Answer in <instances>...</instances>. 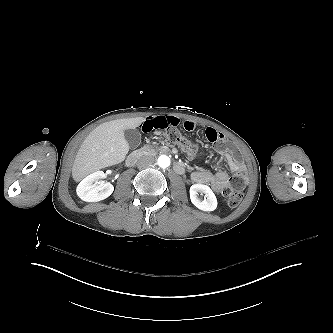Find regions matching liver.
I'll return each instance as SVG.
<instances>
[{
  "label": "liver",
  "instance_id": "obj_1",
  "mask_svg": "<svg viewBox=\"0 0 333 333\" xmlns=\"http://www.w3.org/2000/svg\"><path fill=\"white\" fill-rule=\"evenodd\" d=\"M144 117L117 119L97 126L89 133L79 148L72 167L76 182L99 169L116 165L125 160L129 151L124 131L135 129Z\"/></svg>",
  "mask_w": 333,
  "mask_h": 333
}]
</instances>
